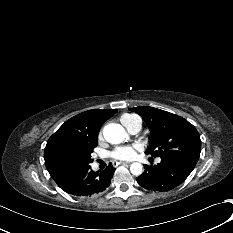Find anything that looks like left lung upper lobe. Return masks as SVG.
Returning a JSON list of instances; mask_svg holds the SVG:
<instances>
[{
	"label": "left lung upper lobe",
	"mask_w": 233,
	"mask_h": 233,
	"mask_svg": "<svg viewBox=\"0 0 233 233\" xmlns=\"http://www.w3.org/2000/svg\"><path fill=\"white\" fill-rule=\"evenodd\" d=\"M146 122L151 133L147 154L172 157L195 167L201 152V140L196 128L186 119L170 112L139 106L130 108Z\"/></svg>",
	"instance_id": "5c2ea615"
}]
</instances>
